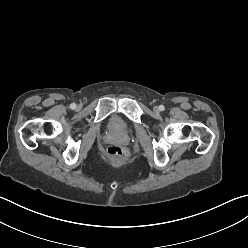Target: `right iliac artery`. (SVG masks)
I'll list each match as a JSON object with an SVG mask.
<instances>
[{
    "label": "right iliac artery",
    "instance_id": "1",
    "mask_svg": "<svg viewBox=\"0 0 248 248\" xmlns=\"http://www.w3.org/2000/svg\"><path fill=\"white\" fill-rule=\"evenodd\" d=\"M70 108H71V109H75V108H76V104H75V103H72V104L70 105Z\"/></svg>",
    "mask_w": 248,
    "mask_h": 248
}]
</instances>
